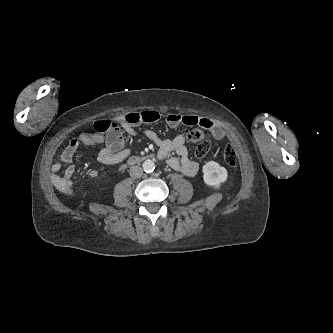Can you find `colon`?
<instances>
[{
	"instance_id": "5ec220e1",
	"label": "colon",
	"mask_w": 333,
	"mask_h": 333,
	"mask_svg": "<svg viewBox=\"0 0 333 333\" xmlns=\"http://www.w3.org/2000/svg\"><path fill=\"white\" fill-rule=\"evenodd\" d=\"M118 122L110 119L97 120L94 123V129L97 133L107 134L116 131ZM186 141L190 143H197L195 149V156L199 159L204 158L210 150L209 134L201 129H194L185 135ZM223 160L230 167L237 166V154L232 145H227L223 151Z\"/></svg>"
}]
</instances>
